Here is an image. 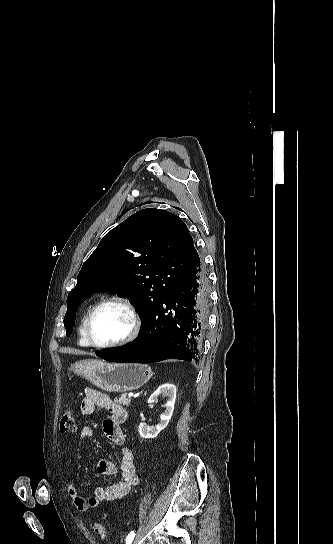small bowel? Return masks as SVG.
Listing matches in <instances>:
<instances>
[{
	"label": "small bowel",
	"instance_id": "c3829d8e",
	"mask_svg": "<svg viewBox=\"0 0 333 544\" xmlns=\"http://www.w3.org/2000/svg\"><path fill=\"white\" fill-rule=\"evenodd\" d=\"M84 393L85 396L80 406L81 414L90 415L97 407L104 408L109 412V417L103 422V431L112 443L120 447L121 459L119 469L109 460L101 459L98 462L97 470L100 474L105 476L119 474L120 479L106 486L94 488L92 494L87 498L79 494L74 483L68 484L69 497L79 512H86L89 508H96L102 501H111L123 497L139 482L134 454L129 447L125 446V436L121 429V425L127 419L126 410L103 392L86 388ZM92 434V429L85 426L80 432V438L85 440L90 438Z\"/></svg>",
	"mask_w": 333,
	"mask_h": 544
}]
</instances>
